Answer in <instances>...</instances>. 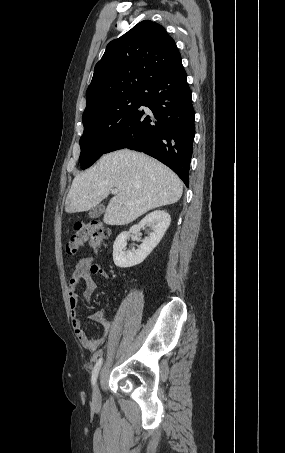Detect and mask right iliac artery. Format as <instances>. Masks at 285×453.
Returning a JSON list of instances; mask_svg holds the SVG:
<instances>
[{
    "label": "right iliac artery",
    "instance_id": "obj_1",
    "mask_svg": "<svg viewBox=\"0 0 285 453\" xmlns=\"http://www.w3.org/2000/svg\"><path fill=\"white\" fill-rule=\"evenodd\" d=\"M101 364H102V358H100V359L97 361V363H96V365L94 366V369H93V371H92L91 383H92L93 386H94L95 383H96L97 376H98V373H99Z\"/></svg>",
    "mask_w": 285,
    "mask_h": 453
}]
</instances>
